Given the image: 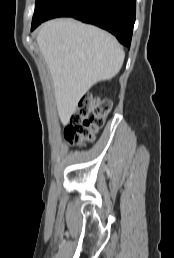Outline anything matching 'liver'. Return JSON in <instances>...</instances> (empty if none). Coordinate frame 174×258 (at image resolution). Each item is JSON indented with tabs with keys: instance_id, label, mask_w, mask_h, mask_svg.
I'll list each match as a JSON object with an SVG mask.
<instances>
[{
	"instance_id": "liver-1",
	"label": "liver",
	"mask_w": 174,
	"mask_h": 258,
	"mask_svg": "<svg viewBox=\"0 0 174 258\" xmlns=\"http://www.w3.org/2000/svg\"><path fill=\"white\" fill-rule=\"evenodd\" d=\"M36 40L52 76L63 123L69 121L79 100L94 84L119 72L125 57L112 35L74 19L45 22Z\"/></svg>"
}]
</instances>
